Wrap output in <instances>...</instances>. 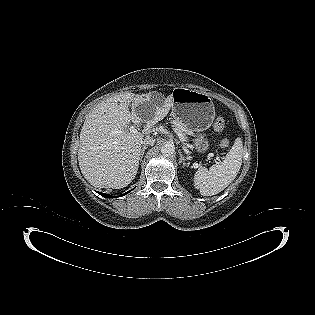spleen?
<instances>
[{
	"label": "spleen",
	"instance_id": "3e777b00",
	"mask_svg": "<svg viewBox=\"0 0 315 315\" xmlns=\"http://www.w3.org/2000/svg\"><path fill=\"white\" fill-rule=\"evenodd\" d=\"M243 157V142L236 138L225 159L212 165L209 170L199 168L194 175V186L203 196H212L223 191L237 176Z\"/></svg>",
	"mask_w": 315,
	"mask_h": 315
}]
</instances>
